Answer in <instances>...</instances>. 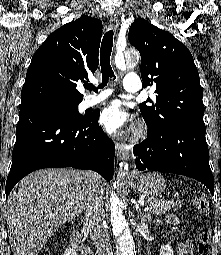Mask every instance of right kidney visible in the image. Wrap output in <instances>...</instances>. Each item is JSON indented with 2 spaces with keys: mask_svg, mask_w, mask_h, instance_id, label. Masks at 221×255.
<instances>
[{
  "mask_svg": "<svg viewBox=\"0 0 221 255\" xmlns=\"http://www.w3.org/2000/svg\"><path fill=\"white\" fill-rule=\"evenodd\" d=\"M63 255H77V253L72 248H68V249L65 250Z\"/></svg>",
  "mask_w": 221,
  "mask_h": 255,
  "instance_id": "1",
  "label": "right kidney"
}]
</instances>
